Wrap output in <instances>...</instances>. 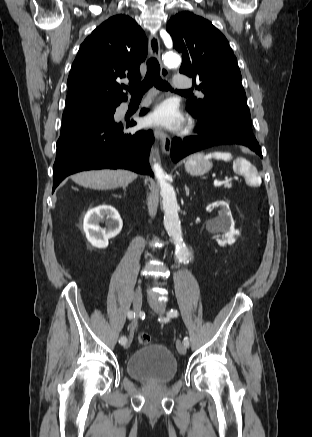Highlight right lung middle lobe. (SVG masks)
Wrapping results in <instances>:
<instances>
[{"instance_id": "right-lung-middle-lobe-1", "label": "right lung middle lobe", "mask_w": 312, "mask_h": 437, "mask_svg": "<svg viewBox=\"0 0 312 437\" xmlns=\"http://www.w3.org/2000/svg\"><path fill=\"white\" fill-rule=\"evenodd\" d=\"M116 107H79L67 109L62 116L60 137L114 119Z\"/></svg>"}]
</instances>
